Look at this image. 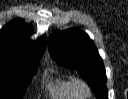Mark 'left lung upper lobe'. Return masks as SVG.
Instances as JSON below:
<instances>
[{"mask_svg":"<svg viewBox=\"0 0 128 99\" xmlns=\"http://www.w3.org/2000/svg\"><path fill=\"white\" fill-rule=\"evenodd\" d=\"M48 47L59 64L78 71L90 84L97 99H108L103 60L84 31L70 28L58 32L48 40Z\"/></svg>","mask_w":128,"mask_h":99,"instance_id":"5c2ea615","label":"left lung upper lobe"}]
</instances>
